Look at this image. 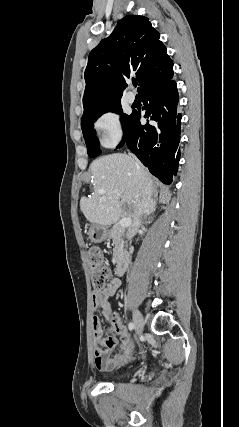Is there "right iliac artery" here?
<instances>
[{"label":"right iliac artery","mask_w":239,"mask_h":427,"mask_svg":"<svg viewBox=\"0 0 239 427\" xmlns=\"http://www.w3.org/2000/svg\"><path fill=\"white\" fill-rule=\"evenodd\" d=\"M128 327H129L130 330H133L134 329V323L130 322L128 324Z\"/></svg>","instance_id":"right-iliac-artery-1"}]
</instances>
